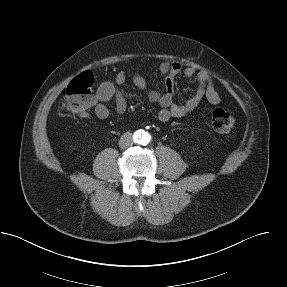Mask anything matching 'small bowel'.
Listing matches in <instances>:
<instances>
[{
	"label": "small bowel",
	"mask_w": 287,
	"mask_h": 287,
	"mask_svg": "<svg viewBox=\"0 0 287 287\" xmlns=\"http://www.w3.org/2000/svg\"><path fill=\"white\" fill-rule=\"evenodd\" d=\"M159 72L163 76L162 90L148 88L147 80L139 73H135L132 76V82L137 88L146 90L149 100L159 105L158 117L163 122L186 115L194 110L203 98H206L212 104H217L221 100L219 93L214 87L212 76L205 70L184 67L180 62L174 61L162 62L159 66ZM178 75H183L186 78H195L198 84L195 94L184 103L176 102L174 99L175 80ZM126 80V73L121 71L114 80L104 81L99 85L95 103L93 104L94 115L98 119H106L110 115V102H114L116 111L119 114H123L126 111L127 102L120 89ZM80 117L89 119L90 114L85 111Z\"/></svg>",
	"instance_id": "1"
}]
</instances>
